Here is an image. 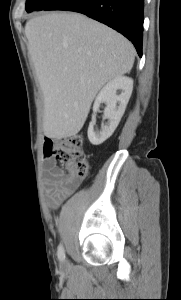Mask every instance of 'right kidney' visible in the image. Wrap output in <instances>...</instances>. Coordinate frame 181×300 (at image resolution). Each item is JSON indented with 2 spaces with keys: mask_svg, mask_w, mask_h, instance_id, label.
I'll return each mask as SVG.
<instances>
[{
  "mask_svg": "<svg viewBox=\"0 0 181 300\" xmlns=\"http://www.w3.org/2000/svg\"><path fill=\"white\" fill-rule=\"evenodd\" d=\"M117 90H121V94L117 95ZM132 90L133 80L126 76H118L102 88L95 99L94 111L97 112L100 104L104 102L106 104L104 117L107 122L102 124L101 131L95 132L96 119H92L88 128V139L91 144L100 145L113 134L125 112Z\"/></svg>",
  "mask_w": 181,
  "mask_h": 300,
  "instance_id": "obj_1",
  "label": "right kidney"
}]
</instances>
